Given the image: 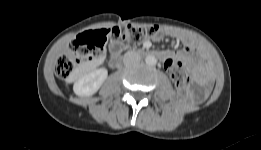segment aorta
<instances>
[{"label": "aorta", "mask_w": 261, "mask_h": 150, "mask_svg": "<svg viewBox=\"0 0 261 150\" xmlns=\"http://www.w3.org/2000/svg\"><path fill=\"white\" fill-rule=\"evenodd\" d=\"M145 62L149 66H155L157 63V59L155 56L149 55L145 58Z\"/></svg>", "instance_id": "aorta-1"}]
</instances>
